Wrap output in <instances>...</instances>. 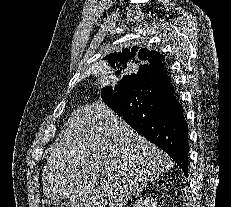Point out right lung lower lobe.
<instances>
[{
  "label": "right lung lower lobe",
  "mask_w": 231,
  "mask_h": 207,
  "mask_svg": "<svg viewBox=\"0 0 231 207\" xmlns=\"http://www.w3.org/2000/svg\"><path fill=\"white\" fill-rule=\"evenodd\" d=\"M101 97L134 130L170 155L187 176L188 125L164 68L142 66L114 88L101 91Z\"/></svg>",
  "instance_id": "obj_1"
}]
</instances>
